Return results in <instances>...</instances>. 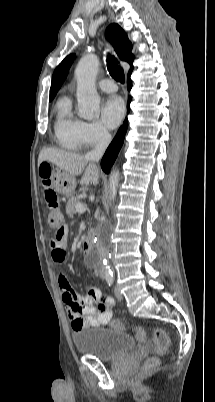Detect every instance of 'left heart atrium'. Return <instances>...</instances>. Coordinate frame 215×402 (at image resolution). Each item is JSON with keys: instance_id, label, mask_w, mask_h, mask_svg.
<instances>
[{"instance_id": "obj_1", "label": "left heart atrium", "mask_w": 215, "mask_h": 402, "mask_svg": "<svg viewBox=\"0 0 215 402\" xmlns=\"http://www.w3.org/2000/svg\"><path fill=\"white\" fill-rule=\"evenodd\" d=\"M124 113L123 100L118 96H111L102 105L101 119L105 126L113 129L121 123Z\"/></svg>"}]
</instances>
